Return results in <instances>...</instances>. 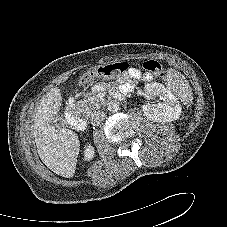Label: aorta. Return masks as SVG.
<instances>
[{"mask_svg": "<svg viewBox=\"0 0 227 227\" xmlns=\"http://www.w3.org/2000/svg\"><path fill=\"white\" fill-rule=\"evenodd\" d=\"M120 109L119 102L117 101H110L108 103V110L112 113L118 112Z\"/></svg>", "mask_w": 227, "mask_h": 227, "instance_id": "obj_1", "label": "aorta"}]
</instances>
